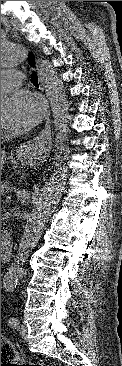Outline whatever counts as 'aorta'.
Instances as JSON below:
<instances>
[{
  "label": "aorta",
  "instance_id": "1",
  "mask_svg": "<svg viewBox=\"0 0 122 366\" xmlns=\"http://www.w3.org/2000/svg\"><path fill=\"white\" fill-rule=\"evenodd\" d=\"M26 59L27 50L24 44L11 42L1 43L2 69L16 67L24 63ZM39 68L44 78L46 94L49 97L55 129L58 131L60 140L65 141L69 132L68 124L70 115L64 84L47 60L41 59ZM7 102V99L1 96V109H4ZM67 151V146L61 145L58 162L34 202L19 244L20 251L16 259L17 265L14 267L15 277L21 272L19 264L24 261L27 251L35 247L38 243L46 223L64 192L65 181L68 177V165L66 164L65 156L63 157L61 155L62 153H67Z\"/></svg>",
  "mask_w": 122,
  "mask_h": 366
}]
</instances>
